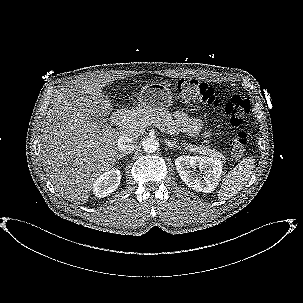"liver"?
Returning <instances> with one entry per match:
<instances>
[{"mask_svg":"<svg viewBox=\"0 0 303 303\" xmlns=\"http://www.w3.org/2000/svg\"><path fill=\"white\" fill-rule=\"evenodd\" d=\"M113 78H84L58 90L43 121L44 170L59 194L74 204L88 201L96 179L118 159L119 133L94 122L112 111L102 89Z\"/></svg>","mask_w":303,"mask_h":303,"instance_id":"6515ba94","label":"liver"}]
</instances>
